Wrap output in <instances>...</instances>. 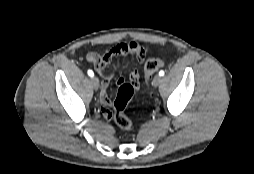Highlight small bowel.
Here are the masks:
<instances>
[{"instance_id": "small-bowel-1", "label": "small bowel", "mask_w": 254, "mask_h": 174, "mask_svg": "<svg viewBox=\"0 0 254 174\" xmlns=\"http://www.w3.org/2000/svg\"><path fill=\"white\" fill-rule=\"evenodd\" d=\"M131 54L133 55L139 62H143L145 60L146 54L144 49L139 45L128 46L126 44H119L112 48L105 55L101 56L96 53H90L87 55L86 60L93 64L97 70V72L102 76V84H101V92H100V103H101V112L105 119H111L112 111H111V103L108 97L107 88L109 80L112 77L110 72H107L106 67L110 64L116 57L120 55ZM129 82L136 87L139 86L140 83V73L138 70H133L129 75ZM125 83L123 78L117 79V84L122 85Z\"/></svg>"}]
</instances>
